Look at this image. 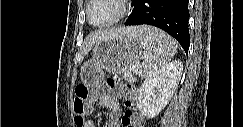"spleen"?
<instances>
[{"instance_id":"obj_1","label":"spleen","mask_w":243,"mask_h":127,"mask_svg":"<svg viewBox=\"0 0 243 127\" xmlns=\"http://www.w3.org/2000/svg\"><path fill=\"white\" fill-rule=\"evenodd\" d=\"M132 35L140 41L143 49L142 63H137L139 75L149 77L160 68L167 65L177 50L176 41L162 30L142 26L137 28Z\"/></svg>"}]
</instances>
